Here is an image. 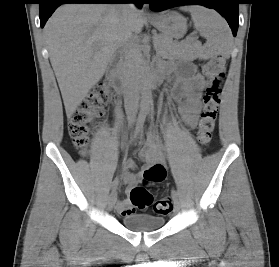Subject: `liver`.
Masks as SVG:
<instances>
[{"instance_id": "6515ba94", "label": "liver", "mask_w": 279, "mask_h": 267, "mask_svg": "<svg viewBox=\"0 0 279 267\" xmlns=\"http://www.w3.org/2000/svg\"><path fill=\"white\" fill-rule=\"evenodd\" d=\"M144 23L137 10L127 28L138 34ZM123 31L118 5L66 4L49 18L44 35L68 118L103 77Z\"/></svg>"}]
</instances>
